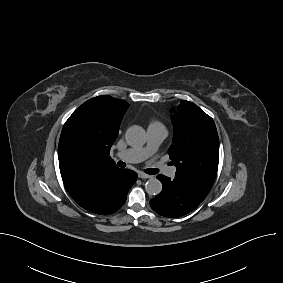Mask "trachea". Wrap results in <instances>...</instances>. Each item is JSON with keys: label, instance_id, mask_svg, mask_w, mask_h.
Segmentation results:
<instances>
[{"label": "trachea", "instance_id": "1", "mask_svg": "<svg viewBox=\"0 0 283 283\" xmlns=\"http://www.w3.org/2000/svg\"><path fill=\"white\" fill-rule=\"evenodd\" d=\"M118 166L125 167V163L122 162V161H119L118 162ZM158 172H159V170L158 169H154V168H148V169L145 170V173L151 174V175L157 174Z\"/></svg>", "mask_w": 283, "mask_h": 283}]
</instances>
